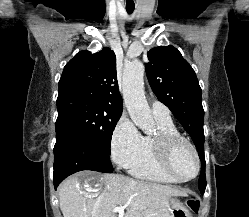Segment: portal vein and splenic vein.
<instances>
[{
  "label": "portal vein and splenic vein",
  "instance_id": "portal-vein-and-splenic-vein-1",
  "mask_svg": "<svg viewBox=\"0 0 249 217\" xmlns=\"http://www.w3.org/2000/svg\"><path fill=\"white\" fill-rule=\"evenodd\" d=\"M119 213V217H123L124 214V208L123 207H116L113 209V213Z\"/></svg>",
  "mask_w": 249,
  "mask_h": 217
}]
</instances>
